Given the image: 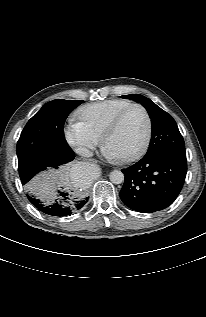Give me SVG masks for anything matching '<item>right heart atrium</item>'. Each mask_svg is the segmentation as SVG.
Wrapping results in <instances>:
<instances>
[{
    "label": "right heart atrium",
    "instance_id": "1",
    "mask_svg": "<svg viewBox=\"0 0 206 317\" xmlns=\"http://www.w3.org/2000/svg\"><path fill=\"white\" fill-rule=\"evenodd\" d=\"M64 134L67 142L79 154L89 153L100 140L81 120H70Z\"/></svg>",
    "mask_w": 206,
    "mask_h": 317
}]
</instances>
